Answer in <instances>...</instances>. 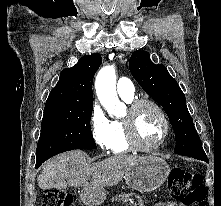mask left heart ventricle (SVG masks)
<instances>
[{
	"mask_svg": "<svg viewBox=\"0 0 221 206\" xmlns=\"http://www.w3.org/2000/svg\"><path fill=\"white\" fill-rule=\"evenodd\" d=\"M135 127L140 143L148 147L155 145L163 133V122L160 115L154 108L147 105L136 111Z\"/></svg>",
	"mask_w": 221,
	"mask_h": 206,
	"instance_id": "obj_1",
	"label": "left heart ventricle"
}]
</instances>
